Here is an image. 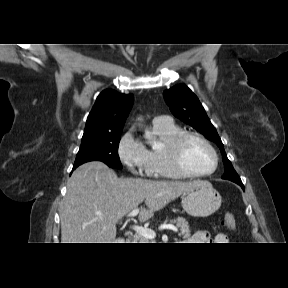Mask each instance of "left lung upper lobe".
<instances>
[{
    "instance_id": "1",
    "label": "left lung upper lobe",
    "mask_w": 288,
    "mask_h": 288,
    "mask_svg": "<svg viewBox=\"0 0 288 288\" xmlns=\"http://www.w3.org/2000/svg\"><path fill=\"white\" fill-rule=\"evenodd\" d=\"M163 96L175 117L189 124L218 145L225 166V173L222 178L235 183H242L231 162L228 160L223 143L197 96L184 84L165 90Z\"/></svg>"
}]
</instances>
